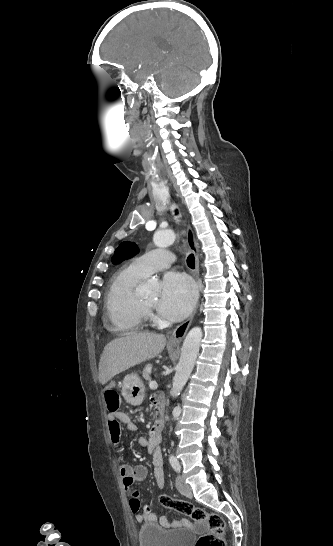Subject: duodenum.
<instances>
[{"instance_id": "duodenum-1", "label": "duodenum", "mask_w": 333, "mask_h": 546, "mask_svg": "<svg viewBox=\"0 0 333 546\" xmlns=\"http://www.w3.org/2000/svg\"><path fill=\"white\" fill-rule=\"evenodd\" d=\"M163 425H164V422H163L162 416L157 415L155 423L152 428V435L155 438H161Z\"/></svg>"}]
</instances>
